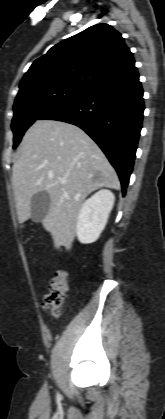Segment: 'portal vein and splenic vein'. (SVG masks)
Masks as SVG:
<instances>
[{"label":"portal vein and splenic vein","instance_id":"1","mask_svg":"<svg viewBox=\"0 0 165 419\" xmlns=\"http://www.w3.org/2000/svg\"><path fill=\"white\" fill-rule=\"evenodd\" d=\"M60 182H61L62 184H64V183L66 182V180H65V179H61V180H60Z\"/></svg>","mask_w":165,"mask_h":419}]
</instances>
